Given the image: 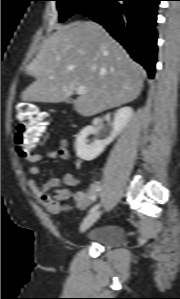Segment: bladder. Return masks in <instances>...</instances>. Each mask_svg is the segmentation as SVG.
I'll return each instance as SVG.
<instances>
[{
    "instance_id": "1",
    "label": "bladder",
    "mask_w": 180,
    "mask_h": 299,
    "mask_svg": "<svg viewBox=\"0 0 180 299\" xmlns=\"http://www.w3.org/2000/svg\"><path fill=\"white\" fill-rule=\"evenodd\" d=\"M84 238L89 242L114 248L122 244L124 232L119 225L105 224L88 232Z\"/></svg>"
}]
</instances>
